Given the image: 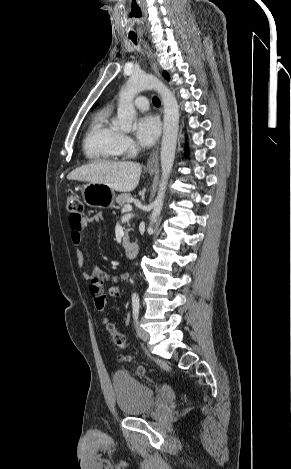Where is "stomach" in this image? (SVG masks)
<instances>
[{
    "mask_svg": "<svg viewBox=\"0 0 291 469\" xmlns=\"http://www.w3.org/2000/svg\"><path fill=\"white\" fill-rule=\"evenodd\" d=\"M154 174L156 170H148ZM84 202L90 207L107 208L113 205L115 192L112 188L101 183H88L82 190Z\"/></svg>",
    "mask_w": 291,
    "mask_h": 469,
    "instance_id": "stomach-1",
    "label": "stomach"
}]
</instances>
